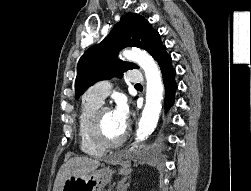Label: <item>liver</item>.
<instances>
[{"instance_id": "1", "label": "liver", "mask_w": 251, "mask_h": 191, "mask_svg": "<svg viewBox=\"0 0 251 191\" xmlns=\"http://www.w3.org/2000/svg\"><path fill=\"white\" fill-rule=\"evenodd\" d=\"M99 165V159H92V157H70V159H67V161L61 165L60 169H58L53 191H61V187L68 175H75V177L86 179L87 175L95 171Z\"/></svg>"}]
</instances>
